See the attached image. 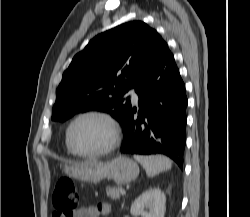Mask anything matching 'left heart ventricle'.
Masks as SVG:
<instances>
[{
    "label": "left heart ventricle",
    "mask_w": 250,
    "mask_h": 217,
    "mask_svg": "<svg viewBox=\"0 0 250 217\" xmlns=\"http://www.w3.org/2000/svg\"><path fill=\"white\" fill-rule=\"evenodd\" d=\"M109 138L108 125L97 117H85L79 120L72 130V142L82 152L100 150L106 146Z\"/></svg>",
    "instance_id": "left-heart-ventricle-1"
}]
</instances>
